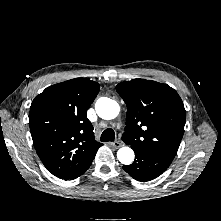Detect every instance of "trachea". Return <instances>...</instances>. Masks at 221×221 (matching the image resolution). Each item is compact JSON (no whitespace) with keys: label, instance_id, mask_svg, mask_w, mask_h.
Returning a JSON list of instances; mask_svg holds the SVG:
<instances>
[{"label":"trachea","instance_id":"obj_1","mask_svg":"<svg viewBox=\"0 0 221 221\" xmlns=\"http://www.w3.org/2000/svg\"><path fill=\"white\" fill-rule=\"evenodd\" d=\"M100 139H101L102 142L114 141V139H115L114 130L111 129V128L106 129L101 134V138Z\"/></svg>","mask_w":221,"mask_h":221}]
</instances>
